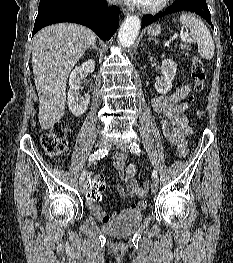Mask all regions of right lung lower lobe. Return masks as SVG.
Instances as JSON below:
<instances>
[{"instance_id": "obj_1", "label": "right lung lower lobe", "mask_w": 233, "mask_h": 263, "mask_svg": "<svg viewBox=\"0 0 233 263\" xmlns=\"http://www.w3.org/2000/svg\"><path fill=\"white\" fill-rule=\"evenodd\" d=\"M120 9L108 7L106 0H79L74 7H56L38 14L34 35L44 26L58 22H74L92 29L102 40H109L118 28Z\"/></svg>"}]
</instances>
